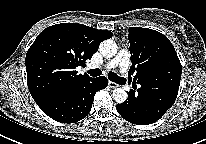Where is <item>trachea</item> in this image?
<instances>
[{
    "mask_svg": "<svg viewBox=\"0 0 206 144\" xmlns=\"http://www.w3.org/2000/svg\"><path fill=\"white\" fill-rule=\"evenodd\" d=\"M88 73L92 77H97V76H100L102 72H101L100 69H91V70L88 71ZM108 78H109L110 81H113L115 83H119L122 80L121 77H119L116 73H113V72L109 73Z\"/></svg>",
    "mask_w": 206,
    "mask_h": 144,
    "instance_id": "trachea-1",
    "label": "trachea"
}]
</instances>
